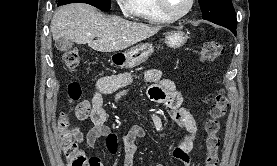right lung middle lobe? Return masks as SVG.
<instances>
[{"instance_id":"dd1d6c3e","label":"right lung middle lobe","mask_w":277,"mask_h":166,"mask_svg":"<svg viewBox=\"0 0 277 166\" xmlns=\"http://www.w3.org/2000/svg\"><path fill=\"white\" fill-rule=\"evenodd\" d=\"M87 3L100 10L108 11L111 6V0H59L58 6L65 5L69 3Z\"/></svg>"}]
</instances>
